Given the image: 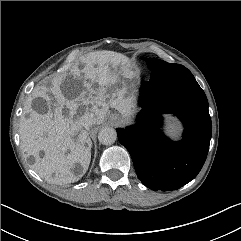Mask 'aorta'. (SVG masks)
Segmentation results:
<instances>
[{"mask_svg": "<svg viewBox=\"0 0 241 241\" xmlns=\"http://www.w3.org/2000/svg\"><path fill=\"white\" fill-rule=\"evenodd\" d=\"M117 139L116 130L112 127H104L98 133V140L103 145H111Z\"/></svg>", "mask_w": 241, "mask_h": 241, "instance_id": "762f6f07", "label": "aorta"}]
</instances>
